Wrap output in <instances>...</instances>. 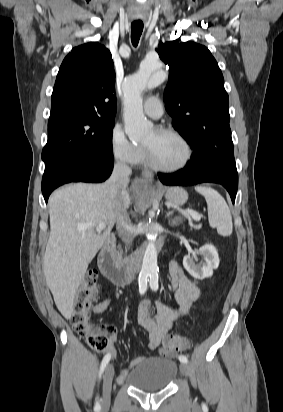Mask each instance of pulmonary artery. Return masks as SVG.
<instances>
[{
    "label": "pulmonary artery",
    "mask_w": 283,
    "mask_h": 412,
    "mask_svg": "<svg viewBox=\"0 0 283 412\" xmlns=\"http://www.w3.org/2000/svg\"><path fill=\"white\" fill-rule=\"evenodd\" d=\"M143 110L148 117L159 119L163 115V107L160 98L157 96L149 97L144 103Z\"/></svg>",
    "instance_id": "e3ab8cb5"
}]
</instances>
